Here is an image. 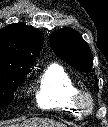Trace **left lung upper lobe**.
Listing matches in <instances>:
<instances>
[{"label":"left lung upper lobe","instance_id":"1","mask_svg":"<svg viewBox=\"0 0 108 127\" xmlns=\"http://www.w3.org/2000/svg\"><path fill=\"white\" fill-rule=\"evenodd\" d=\"M53 51L74 68L90 73L93 71L90 48L79 33L73 29H61L51 34ZM98 80H96V86Z\"/></svg>","mask_w":108,"mask_h":127}]
</instances>
